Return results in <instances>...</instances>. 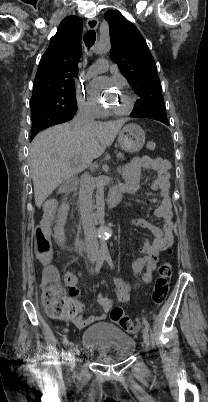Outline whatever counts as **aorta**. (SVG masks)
Wrapping results in <instances>:
<instances>
[{
  "mask_svg": "<svg viewBox=\"0 0 208 402\" xmlns=\"http://www.w3.org/2000/svg\"><path fill=\"white\" fill-rule=\"evenodd\" d=\"M103 177V176H102ZM106 192L105 182L100 180L98 182L97 191H96V210H97V218L96 221L99 223L100 233H103L107 229L106 226V218H105V204H104V194ZM102 238H105V235H102ZM100 247V255L102 258H109L111 255V249L108 246L106 241H102L99 244Z\"/></svg>",
  "mask_w": 208,
  "mask_h": 402,
  "instance_id": "762f6f07",
  "label": "aorta"
}]
</instances>
